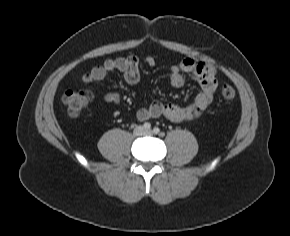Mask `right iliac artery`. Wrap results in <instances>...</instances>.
Masks as SVG:
<instances>
[{
	"instance_id": "1",
	"label": "right iliac artery",
	"mask_w": 290,
	"mask_h": 236,
	"mask_svg": "<svg viewBox=\"0 0 290 236\" xmlns=\"http://www.w3.org/2000/svg\"><path fill=\"white\" fill-rule=\"evenodd\" d=\"M143 128H144L145 130H150V129H151V124H150L149 122H145V123L143 124Z\"/></svg>"
}]
</instances>
